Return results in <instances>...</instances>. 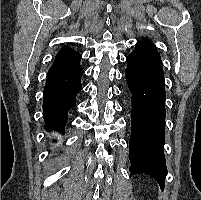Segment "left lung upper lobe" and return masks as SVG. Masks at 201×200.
<instances>
[{"instance_id": "1", "label": "left lung upper lobe", "mask_w": 201, "mask_h": 200, "mask_svg": "<svg viewBox=\"0 0 201 200\" xmlns=\"http://www.w3.org/2000/svg\"><path fill=\"white\" fill-rule=\"evenodd\" d=\"M132 53L139 54H159L156 46L149 39L140 40L136 46L135 50Z\"/></svg>"}]
</instances>
